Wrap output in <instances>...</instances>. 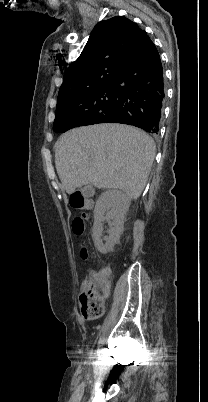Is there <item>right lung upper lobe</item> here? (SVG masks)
Segmentation results:
<instances>
[{
    "mask_svg": "<svg viewBox=\"0 0 208 402\" xmlns=\"http://www.w3.org/2000/svg\"><path fill=\"white\" fill-rule=\"evenodd\" d=\"M146 36L122 16L99 22L79 58L66 69L58 96L100 81H114Z\"/></svg>",
    "mask_w": 208,
    "mask_h": 402,
    "instance_id": "right-lung-upper-lobe-1",
    "label": "right lung upper lobe"
}]
</instances>
